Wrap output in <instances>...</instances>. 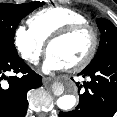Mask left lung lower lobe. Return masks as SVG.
<instances>
[{
  "instance_id": "0a47b994",
  "label": "left lung lower lobe",
  "mask_w": 117,
  "mask_h": 117,
  "mask_svg": "<svg viewBox=\"0 0 117 117\" xmlns=\"http://www.w3.org/2000/svg\"><path fill=\"white\" fill-rule=\"evenodd\" d=\"M79 75L88 76L91 80L84 82L85 91L80 95L77 108L71 112H60L59 116L112 117L117 111V49L86 67Z\"/></svg>"
}]
</instances>
